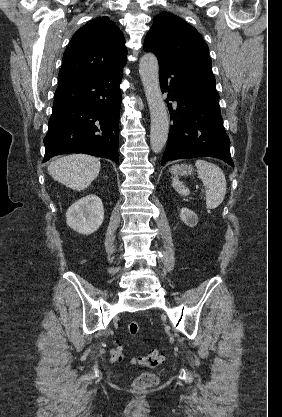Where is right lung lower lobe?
Returning a JSON list of instances; mask_svg holds the SVG:
<instances>
[{
  "instance_id": "98d812e1",
  "label": "right lung lower lobe",
  "mask_w": 282,
  "mask_h": 417,
  "mask_svg": "<svg viewBox=\"0 0 282 417\" xmlns=\"http://www.w3.org/2000/svg\"><path fill=\"white\" fill-rule=\"evenodd\" d=\"M121 80L122 69L56 89L43 162L84 153L119 164Z\"/></svg>"
}]
</instances>
